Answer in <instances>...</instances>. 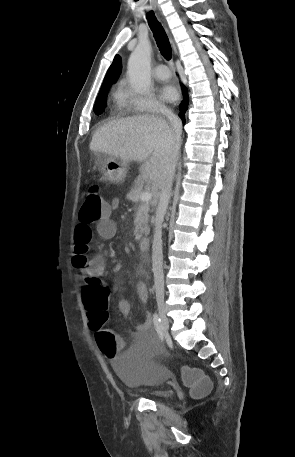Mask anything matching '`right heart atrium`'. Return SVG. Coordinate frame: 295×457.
<instances>
[{"mask_svg":"<svg viewBox=\"0 0 295 457\" xmlns=\"http://www.w3.org/2000/svg\"><path fill=\"white\" fill-rule=\"evenodd\" d=\"M127 107L137 113H165L166 107L152 93L136 94L132 91L126 93Z\"/></svg>","mask_w":295,"mask_h":457,"instance_id":"1","label":"right heart atrium"}]
</instances>
